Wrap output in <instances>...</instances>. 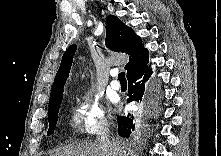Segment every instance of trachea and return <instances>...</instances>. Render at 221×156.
Segmentation results:
<instances>
[{
    "label": "trachea",
    "mask_w": 221,
    "mask_h": 156,
    "mask_svg": "<svg viewBox=\"0 0 221 156\" xmlns=\"http://www.w3.org/2000/svg\"><path fill=\"white\" fill-rule=\"evenodd\" d=\"M118 79H119L120 81H126L125 73H124V72L119 73Z\"/></svg>",
    "instance_id": "3493384b"
}]
</instances>
